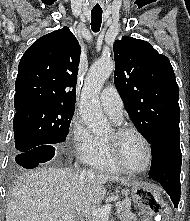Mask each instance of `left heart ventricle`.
Here are the masks:
<instances>
[{"label": "left heart ventricle", "mask_w": 190, "mask_h": 221, "mask_svg": "<svg viewBox=\"0 0 190 221\" xmlns=\"http://www.w3.org/2000/svg\"><path fill=\"white\" fill-rule=\"evenodd\" d=\"M113 130L106 139H111ZM118 148L123 163L132 170H140L147 162V149L139 136L134 133H126L118 140Z\"/></svg>", "instance_id": "1"}]
</instances>
